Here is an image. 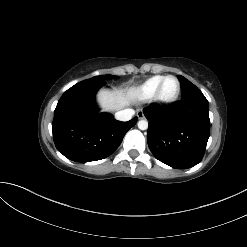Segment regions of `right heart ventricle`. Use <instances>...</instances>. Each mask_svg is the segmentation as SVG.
<instances>
[{"label": "right heart ventricle", "mask_w": 247, "mask_h": 247, "mask_svg": "<svg viewBox=\"0 0 247 247\" xmlns=\"http://www.w3.org/2000/svg\"><path fill=\"white\" fill-rule=\"evenodd\" d=\"M165 76L156 75L148 78L140 86L133 90V96L140 101H147L154 97L158 86Z\"/></svg>", "instance_id": "obj_1"}]
</instances>
